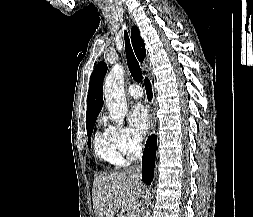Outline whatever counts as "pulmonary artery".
Here are the masks:
<instances>
[{
  "label": "pulmonary artery",
  "mask_w": 253,
  "mask_h": 217,
  "mask_svg": "<svg viewBox=\"0 0 253 217\" xmlns=\"http://www.w3.org/2000/svg\"><path fill=\"white\" fill-rule=\"evenodd\" d=\"M128 94L133 98H140L143 96V91L137 84H131L127 88Z\"/></svg>",
  "instance_id": "pulmonary-artery-1"
}]
</instances>
